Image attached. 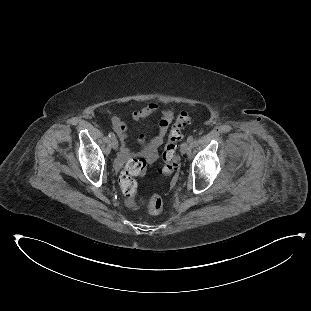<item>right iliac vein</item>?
I'll return each mask as SVG.
<instances>
[{
  "instance_id": "63e3f726",
  "label": "right iliac vein",
  "mask_w": 311,
  "mask_h": 311,
  "mask_svg": "<svg viewBox=\"0 0 311 311\" xmlns=\"http://www.w3.org/2000/svg\"><path fill=\"white\" fill-rule=\"evenodd\" d=\"M118 141H117V139L116 138H112L111 139V146H112V148L114 149V150H116L117 148H118Z\"/></svg>"
}]
</instances>
